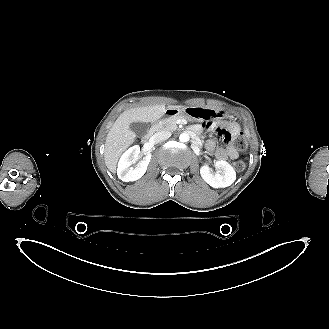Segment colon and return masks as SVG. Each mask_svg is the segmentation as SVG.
Listing matches in <instances>:
<instances>
[{"mask_svg":"<svg viewBox=\"0 0 329 329\" xmlns=\"http://www.w3.org/2000/svg\"><path fill=\"white\" fill-rule=\"evenodd\" d=\"M221 129H222V127H221ZM233 143H234L235 147L241 151L245 150L247 147V140L243 135H237L233 139ZM233 165L237 171H242L245 168V163L240 159H235L233 162Z\"/></svg>","mask_w":329,"mask_h":329,"instance_id":"obj_1","label":"colon"}]
</instances>
